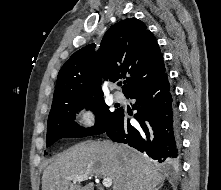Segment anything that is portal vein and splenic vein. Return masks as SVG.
<instances>
[{
    "label": "portal vein and splenic vein",
    "instance_id": "18ae733b",
    "mask_svg": "<svg viewBox=\"0 0 221 190\" xmlns=\"http://www.w3.org/2000/svg\"><path fill=\"white\" fill-rule=\"evenodd\" d=\"M88 177H89L88 175H82V176L68 178V180L76 183V182H81V181L87 180ZM102 183H103L104 187H110L112 185V179L111 178H104Z\"/></svg>",
    "mask_w": 221,
    "mask_h": 190
}]
</instances>
